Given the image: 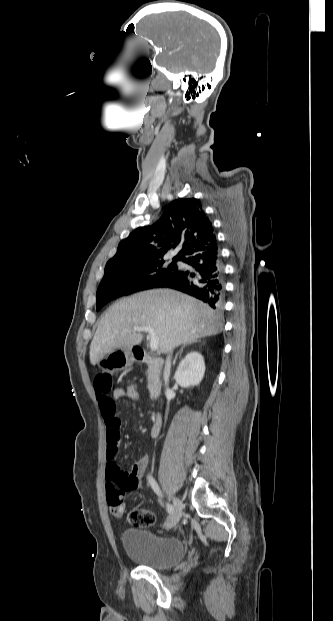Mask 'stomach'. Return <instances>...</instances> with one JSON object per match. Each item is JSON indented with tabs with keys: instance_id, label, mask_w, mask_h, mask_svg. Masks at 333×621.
<instances>
[{
	"instance_id": "1",
	"label": "stomach",
	"mask_w": 333,
	"mask_h": 621,
	"mask_svg": "<svg viewBox=\"0 0 333 621\" xmlns=\"http://www.w3.org/2000/svg\"><path fill=\"white\" fill-rule=\"evenodd\" d=\"M134 360L132 349L130 348H113L104 360L98 362L101 370H120L131 364Z\"/></svg>"
}]
</instances>
